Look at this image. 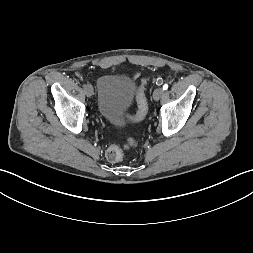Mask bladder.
I'll return each instance as SVG.
<instances>
[{
	"instance_id": "obj_1",
	"label": "bladder",
	"mask_w": 253,
	"mask_h": 253,
	"mask_svg": "<svg viewBox=\"0 0 253 253\" xmlns=\"http://www.w3.org/2000/svg\"><path fill=\"white\" fill-rule=\"evenodd\" d=\"M135 82L114 74H107L97 83V108L99 114L114 125L125 122L121 114L130 106Z\"/></svg>"
}]
</instances>
